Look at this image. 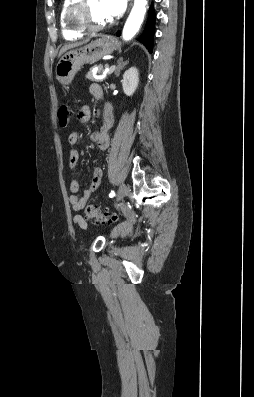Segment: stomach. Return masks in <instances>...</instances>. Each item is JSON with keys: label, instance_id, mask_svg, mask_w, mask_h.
Here are the masks:
<instances>
[{"label": "stomach", "instance_id": "stomach-1", "mask_svg": "<svg viewBox=\"0 0 254 397\" xmlns=\"http://www.w3.org/2000/svg\"><path fill=\"white\" fill-rule=\"evenodd\" d=\"M117 48V43L109 36L103 35L89 44L65 53L56 65V78L64 85L72 82L76 73L85 64H93L102 57L110 55Z\"/></svg>", "mask_w": 254, "mask_h": 397}]
</instances>
